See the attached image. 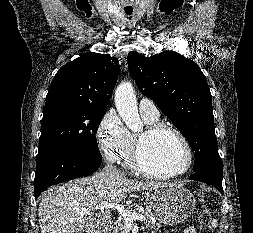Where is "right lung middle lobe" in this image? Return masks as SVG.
I'll use <instances>...</instances> for the list:
<instances>
[{"instance_id": "obj_1", "label": "right lung middle lobe", "mask_w": 253, "mask_h": 233, "mask_svg": "<svg viewBox=\"0 0 253 233\" xmlns=\"http://www.w3.org/2000/svg\"><path fill=\"white\" fill-rule=\"evenodd\" d=\"M106 110L86 104L45 105L38 155L61 150L102 158L96 133Z\"/></svg>"}]
</instances>
